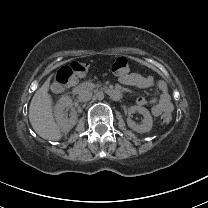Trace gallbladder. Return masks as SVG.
<instances>
[{
	"label": "gallbladder",
	"instance_id": "bac80fb5",
	"mask_svg": "<svg viewBox=\"0 0 208 208\" xmlns=\"http://www.w3.org/2000/svg\"><path fill=\"white\" fill-rule=\"evenodd\" d=\"M50 89H51L52 92L57 93V92L60 91L61 86H60L59 83L54 82V83L51 84Z\"/></svg>",
	"mask_w": 208,
	"mask_h": 208
}]
</instances>
